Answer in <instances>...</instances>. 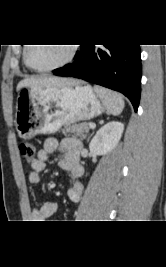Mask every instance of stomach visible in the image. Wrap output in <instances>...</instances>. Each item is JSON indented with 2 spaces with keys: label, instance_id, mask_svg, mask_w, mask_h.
Listing matches in <instances>:
<instances>
[{
  "label": "stomach",
  "instance_id": "0dacf381",
  "mask_svg": "<svg viewBox=\"0 0 166 267\" xmlns=\"http://www.w3.org/2000/svg\"><path fill=\"white\" fill-rule=\"evenodd\" d=\"M105 106L99 95L84 83L73 86L35 88L19 91L15 126L19 137L31 139L37 134H52L63 125L99 116Z\"/></svg>",
  "mask_w": 166,
  "mask_h": 267
}]
</instances>
